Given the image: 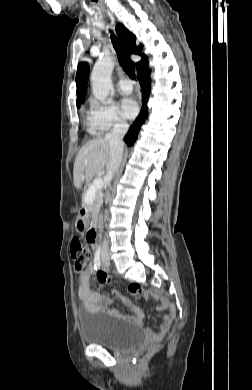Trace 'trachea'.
<instances>
[{"label":"trachea","mask_w":252,"mask_h":390,"mask_svg":"<svg viewBox=\"0 0 252 390\" xmlns=\"http://www.w3.org/2000/svg\"><path fill=\"white\" fill-rule=\"evenodd\" d=\"M111 41L113 43L114 49L118 56L119 63L122 66L123 70L129 77L135 79V64L131 61L128 51L114 34L111 35Z\"/></svg>","instance_id":"trachea-1"}]
</instances>
